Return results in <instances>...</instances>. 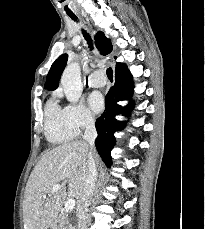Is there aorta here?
Masks as SVG:
<instances>
[{
	"mask_svg": "<svg viewBox=\"0 0 205 229\" xmlns=\"http://www.w3.org/2000/svg\"><path fill=\"white\" fill-rule=\"evenodd\" d=\"M61 85L67 100L71 103H77L83 91L81 68L78 63H71L64 69Z\"/></svg>",
	"mask_w": 205,
	"mask_h": 229,
	"instance_id": "762f6f07",
	"label": "aorta"
}]
</instances>
